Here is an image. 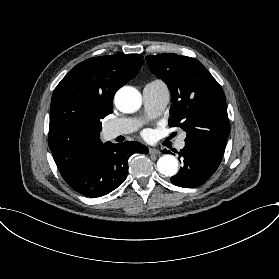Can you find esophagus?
<instances>
[{
	"label": "esophagus",
	"mask_w": 279,
	"mask_h": 279,
	"mask_svg": "<svg viewBox=\"0 0 279 279\" xmlns=\"http://www.w3.org/2000/svg\"><path fill=\"white\" fill-rule=\"evenodd\" d=\"M159 154H160L159 150L152 148V147L149 148V155L157 156Z\"/></svg>",
	"instance_id": "esophagus-1"
}]
</instances>
